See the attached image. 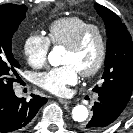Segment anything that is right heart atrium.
Wrapping results in <instances>:
<instances>
[{
    "instance_id": "right-heart-atrium-1",
    "label": "right heart atrium",
    "mask_w": 133,
    "mask_h": 133,
    "mask_svg": "<svg viewBox=\"0 0 133 133\" xmlns=\"http://www.w3.org/2000/svg\"><path fill=\"white\" fill-rule=\"evenodd\" d=\"M50 41L40 33L30 34L24 41L23 52L28 63L34 68L43 67L47 61Z\"/></svg>"
}]
</instances>
